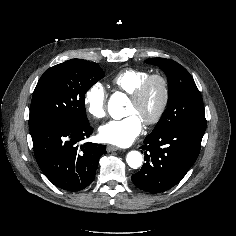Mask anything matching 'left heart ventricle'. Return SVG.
<instances>
[{
  "label": "left heart ventricle",
  "instance_id": "b2bd125f",
  "mask_svg": "<svg viewBox=\"0 0 236 236\" xmlns=\"http://www.w3.org/2000/svg\"><path fill=\"white\" fill-rule=\"evenodd\" d=\"M161 97V86L158 82H154L140 102L136 103L130 99L127 113L137 114L142 120L149 118L156 113Z\"/></svg>",
  "mask_w": 236,
  "mask_h": 236
}]
</instances>
